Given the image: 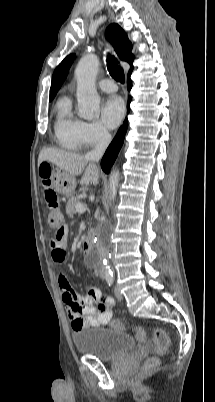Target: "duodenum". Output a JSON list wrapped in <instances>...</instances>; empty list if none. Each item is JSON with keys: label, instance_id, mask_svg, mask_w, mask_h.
Masks as SVG:
<instances>
[{"label": "duodenum", "instance_id": "1", "mask_svg": "<svg viewBox=\"0 0 215 402\" xmlns=\"http://www.w3.org/2000/svg\"><path fill=\"white\" fill-rule=\"evenodd\" d=\"M94 247V242H93V235L92 233H89V235L85 238V240L82 243L81 250L84 255H89ZM98 270L101 271V268L98 267Z\"/></svg>", "mask_w": 215, "mask_h": 402}]
</instances>
